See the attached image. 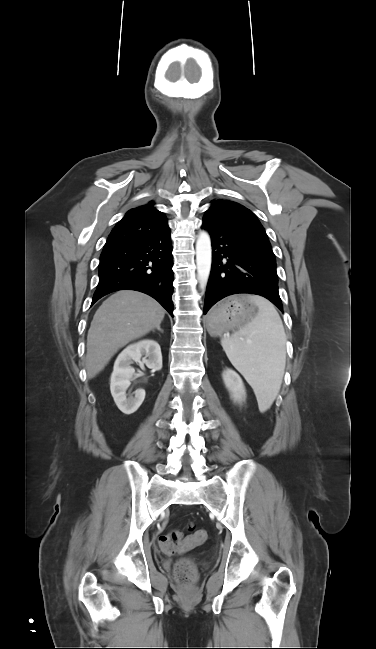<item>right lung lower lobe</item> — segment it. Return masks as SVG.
I'll list each match as a JSON object with an SVG mask.
<instances>
[{
  "label": "right lung lower lobe",
  "mask_w": 376,
  "mask_h": 649,
  "mask_svg": "<svg viewBox=\"0 0 376 649\" xmlns=\"http://www.w3.org/2000/svg\"><path fill=\"white\" fill-rule=\"evenodd\" d=\"M172 266L169 228L120 245L104 247L92 305L106 294L131 289L150 295L173 316Z\"/></svg>",
  "instance_id": "1"
}]
</instances>
